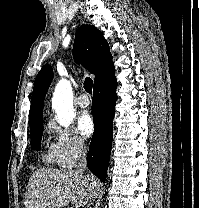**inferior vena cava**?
<instances>
[{"label":"inferior vena cava","mask_w":199,"mask_h":208,"mask_svg":"<svg viewBox=\"0 0 199 208\" xmlns=\"http://www.w3.org/2000/svg\"><path fill=\"white\" fill-rule=\"evenodd\" d=\"M78 158H77V164H76V171L77 172H83L87 169V161H86V153L87 149L85 144L80 141L78 143Z\"/></svg>","instance_id":"obj_1"}]
</instances>
